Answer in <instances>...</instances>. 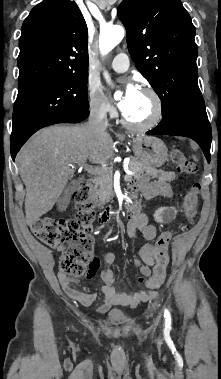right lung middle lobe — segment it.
I'll return each mask as SVG.
<instances>
[{
  "label": "right lung middle lobe",
  "mask_w": 221,
  "mask_h": 379,
  "mask_svg": "<svg viewBox=\"0 0 221 379\" xmlns=\"http://www.w3.org/2000/svg\"><path fill=\"white\" fill-rule=\"evenodd\" d=\"M88 73L67 74L18 85L11 143L28 139L37 130L89 109Z\"/></svg>",
  "instance_id": "dd1d6c3e"
}]
</instances>
